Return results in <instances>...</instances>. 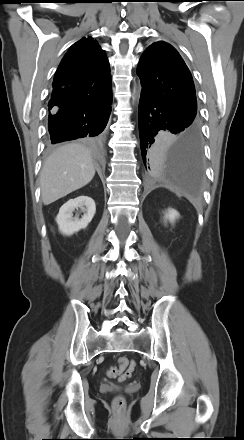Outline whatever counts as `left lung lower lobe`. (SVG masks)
<instances>
[{"instance_id": "obj_1", "label": "left lung lower lobe", "mask_w": 244, "mask_h": 440, "mask_svg": "<svg viewBox=\"0 0 244 440\" xmlns=\"http://www.w3.org/2000/svg\"><path fill=\"white\" fill-rule=\"evenodd\" d=\"M138 125L146 170L172 174L184 191L198 192L203 176L200 130L181 121L166 105L144 92L139 101ZM163 132L175 135L173 141L164 139Z\"/></svg>"}]
</instances>
